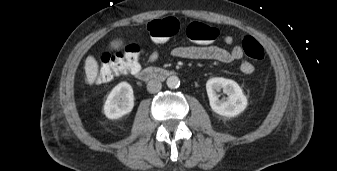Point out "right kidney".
<instances>
[{
    "instance_id": "obj_1",
    "label": "right kidney",
    "mask_w": 337,
    "mask_h": 171,
    "mask_svg": "<svg viewBox=\"0 0 337 171\" xmlns=\"http://www.w3.org/2000/svg\"><path fill=\"white\" fill-rule=\"evenodd\" d=\"M133 107V89L129 83L121 82L108 95L104 104V114L109 119H118L130 113Z\"/></svg>"
}]
</instances>
